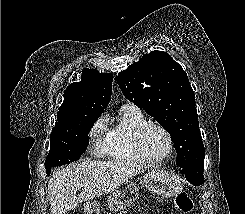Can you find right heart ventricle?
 <instances>
[{"label": "right heart ventricle", "instance_id": "1", "mask_svg": "<svg viewBox=\"0 0 245 214\" xmlns=\"http://www.w3.org/2000/svg\"><path fill=\"white\" fill-rule=\"evenodd\" d=\"M146 122V117L137 106L122 105L116 120L107 127L104 153L115 161L142 163L134 151L132 138L136 128Z\"/></svg>", "mask_w": 245, "mask_h": 214}]
</instances>
